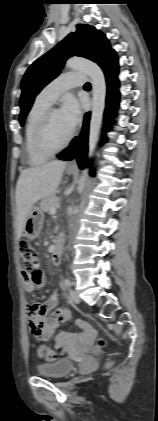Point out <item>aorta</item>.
I'll return each mask as SVG.
<instances>
[{
	"mask_svg": "<svg viewBox=\"0 0 158 421\" xmlns=\"http://www.w3.org/2000/svg\"><path fill=\"white\" fill-rule=\"evenodd\" d=\"M66 67L69 69L81 71L88 75L92 83V113L89 127V157L92 156L95 146L98 141L99 131L102 123L103 112L105 108L106 99V81L102 69L94 62L80 58L73 57L67 60ZM88 176V169L82 171V175L78 182V192L81 194L85 187V182Z\"/></svg>",
	"mask_w": 158,
	"mask_h": 421,
	"instance_id": "obj_1",
	"label": "aorta"
}]
</instances>
